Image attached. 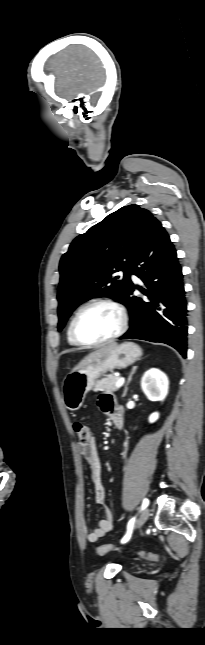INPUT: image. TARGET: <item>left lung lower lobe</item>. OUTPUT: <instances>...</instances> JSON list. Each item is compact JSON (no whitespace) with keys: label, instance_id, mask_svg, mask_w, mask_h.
Wrapping results in <instances>:
<instances>
[{"label":"left lung lower lobe","instance_id":"0a47b994","mask_svg":"<svg viewBox=\"0 0 205 645\" xmlns=\"http://www.w3.org/2000/svg\"><path fill=\"white\" fill-rule=\"evenodd\" d=\"M130 274L148 290L145 299L132 296L131 282L123 304L130 312V328L120 339H142L174 347L187 355V302L182 268L169 235L155 218L147 227L134 254Z\"/></svg>","mask_w":205,"mask_h":645}]
</instances>
